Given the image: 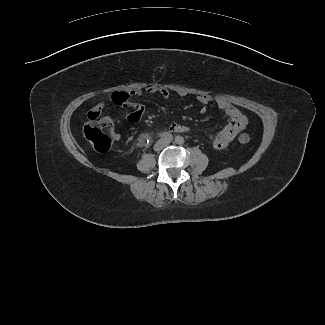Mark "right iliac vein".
<instances>
[{
    "instance_id": "1",
    "label": "right iliac vein",
    "mask_w": 325,
    "mask_h": 325,
    "mask_svg": "<svg viewBox=\"0 0 325 325\" xmlns=\"http://www.w3.org/2000/svg\"><path fill=\"white\" fill-rule=\"evenodd\" d=\"M155 148H156V149H159V148H160V144H157V145L155 146Z\"/></svg>"
}]
</instances>
